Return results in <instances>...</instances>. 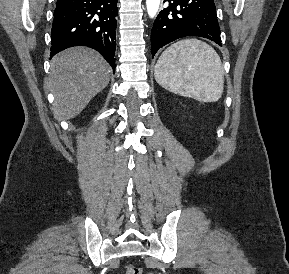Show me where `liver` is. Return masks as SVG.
Instances as JSON below:
<instances>
[{
	"label": "liver",
	"instance_id": "6515ba94",
	"mask_svg": "<svg viewBox=\"0 0 289 274\" xmlns=\"http://www.w3.org/2000/svg\"><path fill=\"white\" fill-rule=\"evenodd\" d=\"M111 68L87 47H72L51 61L49 87L54 94V116L68 120L79 115L110 81Z\"/></svg>",
	"mask_w": 289,
	"mask_h": 274
}]
</instances>
